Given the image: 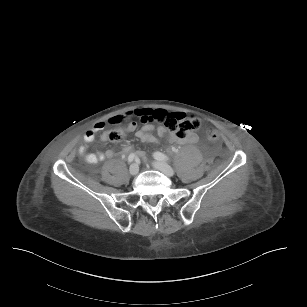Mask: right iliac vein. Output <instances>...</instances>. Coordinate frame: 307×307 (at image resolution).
Returning a JSON list of instances; mask_svg holds the SVG:
<instances>
[{
    "mask_svg": "<svg viewBox=\"0 0 307 307\" xmlns=\"http://www.w3.org/2000/svg\"><path fill=\"white\" fill-rule=\"evenodd\" d=\"M138 172H139V166L136 163H133L129 168V173L132 176H135L138 174Z\"/></svg>",
    "mask_w": 307,
    "mask_h": 307,
    "instance_id": "right-iliac-vein-1",
    "label": "right iliac vein"
}]
</instances>
